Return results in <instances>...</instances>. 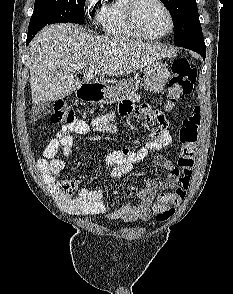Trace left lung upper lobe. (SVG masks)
<instances>
[{"instance_id":"left-lung-upper-lobe-1","label":"left lung upper lobe","mask_w":233,"mask_h":294,"mask_svg":"<svg viewBox=\"0 0 233 294\" xmlns=\"http://www.w3.org/2000/svg\"><path fill=\"white\" fill-rule=\"evenodd\" d=\"M174 21L175 45L200 54L206 49L195 0H161Z\"/></svg>"}]
</instances>
